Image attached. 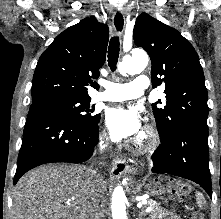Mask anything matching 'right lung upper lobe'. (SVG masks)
I'll use <instances>...</instances> for the list:
<instances>
[{
  "label": "right lung upper lobe",
  "mask_w": 221,
  "mask_h": 219,
  "mask_svg": "<svg viewBox=\"0 0 221 219\" xmlns=\"http://www.w3.org/2000/svg\"><path fill=\"white\" fill-rule=\"evenodd\" d=\"M108 27L87 17L59 34L39 58L32 84V102L48 98L91 99L92 79L106 59Z\"/></svg>",
  "instance_id": "obj_1"
}]
</instances>
